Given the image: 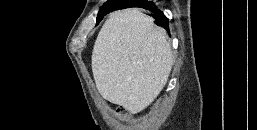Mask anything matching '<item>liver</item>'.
I'll use <instances>...</instances> for the list:
<instances>
[{
  "mask_svg": "<svg viewBox=\"0 0 257 130\" xmlns=\"http://www.w3.org/2000/svg\"><path fill=\"white\" fill-rule=\"evenodd\" d=\"M166 30L139 9L110 14L92 52V72L101 96L131 113L149 106L166 85L173 53Z\"/></svg>",
  "mask_w": 257,
  "mask_h": 130,
  "instance_id": "liver-1",
  "label": "liver"
}]
</instances>
